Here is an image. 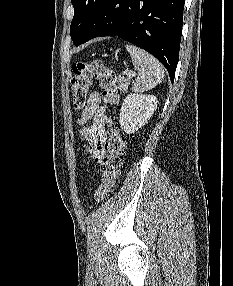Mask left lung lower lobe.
<instances>
[{"mask_svg": "<svg viewBox=\"0 0 233 286\" xmlns=\"http://www.w3.org/2000/svg\"><path fill=\"white\" fill-rule=\"evenodd\" d=\"M185 0H103L75 46L118 36L155 56L173 83L179 59Z\"/></svg>", "mask_w": 233, "mask_h": 286, "instance_id": "obj_1", "label": "left lung lower lobe"}]
</instances>
